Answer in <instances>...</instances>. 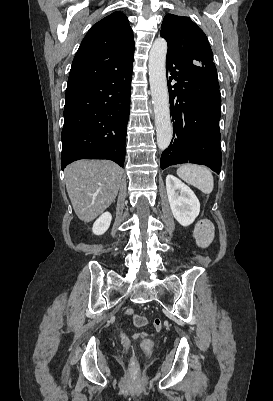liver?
<instances>
[{
    "instance_id": "obj_1",
    "label": "liver",
    "mask_w": 273,
    "mask_h": 401,
    "mask_svg": "<svg viewBox=\"0 0 273 401\" xmlns=\"http://www.w3.org/2000/svg\"><path fill=\"white\" fill-rule=\"evenodd\" d=\"M72 207L80 221L90 223L115 201L123 168L112 160H76L65 170Z\"/></svg>"
}]
</instances>
